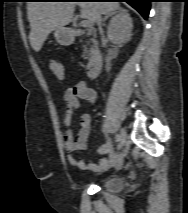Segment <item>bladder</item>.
<instances>
[{"label":"bladder","instance_id":"obj_1","mask_svg":"<svg viewBox=\"0 0 188 213\" xmlns=\"http://www.w3.org/2000/svg\"><path fill=\"white\" fill-rule=\"evenodd\" d=\"M124 182L118 177H109L102 181V189L107 192L115 193L123 188Z\"/></svg>","mask_w":188,"mask_h":213}]
</instances>
